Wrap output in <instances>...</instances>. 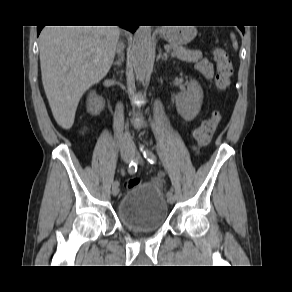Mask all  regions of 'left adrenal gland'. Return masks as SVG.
<instances>
[{"label":"left adrenal gland","instance_id":"a2214340","mask_svg":"<svg viewBox=\"0 0 292 292\" xmlns=\"http://www.w3.org/2000/svg\"><path fill=\"white\" fill-rule=\"evenodd\" d=\"M167 58H168V56H167V54H162V50L160 49L159 50V54H158V56H157V61L159 60V59H162V60H167Z\"/></svg>","mask_w":292,"mask_h":292}]
</instances>
